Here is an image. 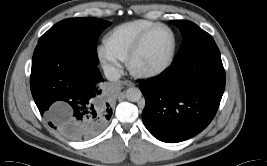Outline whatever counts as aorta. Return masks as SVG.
Masks as SVG:
<instances>
[{
	"label": "aorta",
	"instance_id": "1",
	"mask_svg": "<svg viewBox=\"0 0 267 166\" xmlns=\"http://www.w3.org/2000/svg\"><path fill=\"white\" fill-rule=\"evenodd\" d=\"M142 97V93L137 87H130L126 90V98L131 102H138Z\"/></svg>",
	"mask_w": 267,
	"mask_h": 166
}]
</instances>
